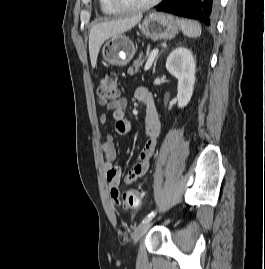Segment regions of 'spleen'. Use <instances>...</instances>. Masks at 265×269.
<instances>
[{
	"label": "spleen",
	"instance_id": "obj_1",
	"mask_svg": "<svg viewBox=\"0 0 265 269\" xmlns=\"http://www.w3.org/2000/svg\"><path fill=\"white\" fill-rule=\"evenodd\" d=\"M177 24L182 31V33L190 38H197L201 35V26L196 21H191L187 19H176Z\"/></svg>",
	"mask_w": 265,
	"mask_h": 269
}]
</instances>
